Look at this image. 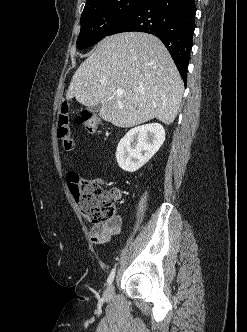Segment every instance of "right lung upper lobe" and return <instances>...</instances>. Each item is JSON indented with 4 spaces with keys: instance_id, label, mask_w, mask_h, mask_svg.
<instances>
[{
    "instance_id": "right-lung-upper-lobe-1",
    "label": "right lung upper lobe",
    "mask_w": 247,
    "mask_h": 332,
    "mask_svg": "<svg viewBox=\"0 0 247 332\" xmlns=\"http://www.w3.org/2000/svg\"><path fill=\"white\" fill-rule=\"evenodd\" d=\"M98 1H100V0H86L85 8L88 7V6H90V5H92L95 2H98Z\"/></svg>"
}]
</instances>
